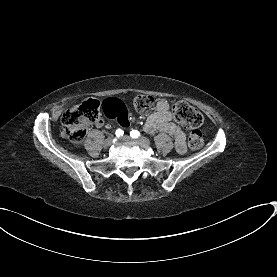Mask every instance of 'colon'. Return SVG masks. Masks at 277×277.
Wrapping results in <instances>:
<instances>
[{
    "label": "colon",
    "instance_id": "colon-1",
    "mask_svg": "<svg viewBox=\"0 0 277 277\" xmlns=\"http://www.w3.org/2000/svg\"><path fill=\"white\" fill-rule=\"evenodd\" d=\"M131 104L136 110L141 111L151 108L154 105V98L151 95L139 94L131 99ZM171 109L176 120L190 130L188 146L191 149H200L203 145L200 130L204 123L203 114L183 101L172 102ZM99 111L100 104L95 99H87L81 106L66 110L61 118L65 137L72 142L82 141L85 138L87 126L101 118Z\"/></svg>",
    "mask_w": 277,
    "mask_h": 277
}]
</instances>
